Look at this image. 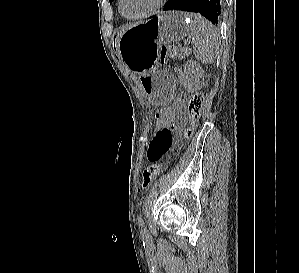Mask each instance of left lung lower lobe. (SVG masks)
Returning <instances> with one entry per match:
<instances>
[{
	"label": "left lung lower lobe",
	"instance_id": "0a47b994",
	"mask_svg": "<svg viewBox=\"0 0 299 273\" xmlns=\"http://www.w3.org/2000/svg\"><path fill=\"white\" fill-rule=\"evenodd\" d=\"M221 0H169L163 10L197 12L217 24L220 17Z\"/></svg>",
	"mask_w": 299,
	"mask_h": 273
}]
</instances>
